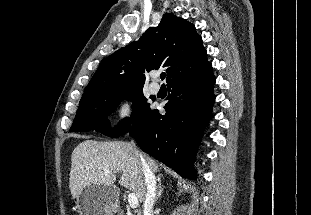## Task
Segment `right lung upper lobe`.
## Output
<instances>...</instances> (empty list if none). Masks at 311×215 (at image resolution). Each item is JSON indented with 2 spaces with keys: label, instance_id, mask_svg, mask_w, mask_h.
Returning a JSON list of instances; mask_svg holds the SVG:
<instances>
[{
  "label": "right lung upper lobe",
  "instance_id": "cb5924a9",
  "mask_svg": "<svg viewBox=\"0 0 311 215\" xmlns=\"http://www.w3.org/2000/svg\"><path fill=\"white\" fill-rule=\"evenodd\" d=\"M207 61L202 38L193 24L165 13L159 25L149 28L139 40L107 57L93 75L80 100L123 94L143 89L145 75L165 68L167 83L194 71Z\"/></svg>",
  "mask_w": 311,
  "mask_h": 215
}]
</instances>
